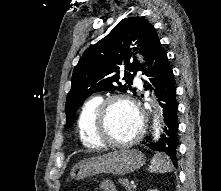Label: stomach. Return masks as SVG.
Segmentation results:
<instances>
[{"mask_svg": "<svg viewBox=\"0 0 221 191\" xmlns=\"http://www.w3.org/2000/svg\"><path fill=\"white\" fill-rule=\"evenodd\" d=\"M144 162L143 154L137 150H119L80 161L73 166L70 176L80 180L101 173L125 175L139 169Z\"/></svg>", "mask_w": 221, "mask_h": 191, "instance_id": "0dacf381", "label": "stomach"}]
</instances>
